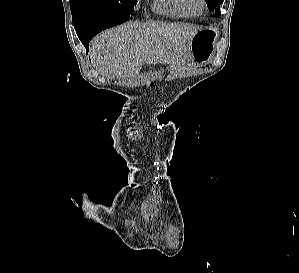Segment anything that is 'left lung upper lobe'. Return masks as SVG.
I'll use <instances>...</instances> for the list:
<instances>
[{
  "label": "left lung upper lobe",
  "mask_w": 299,
  "mask_h": 273,
  "mask_svg": "<svg viewBox=\"0 0 299 273\" xmlns=\"http://www.w3.org/2000/svg\"><path fill=\"white\" fill-rule=\"evenodd\" d=\"M208 4V8L211 11H215V14L220 16V8L219 5L222 3L223 0H205Z\"/></svg>",
  "instance_id": "5c2ea615"
}]
</instances>
